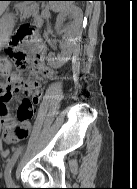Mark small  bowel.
<instances>
[{
	"instance_id": "1",
	"label": "small bowel",
	"mask_w": 137,
	"mask_h": 189,
	"mask_svg": "<svg viewBox=\"0 0 137 189\" xmlns=\"http://www.w3.org/2000/svg\"><path fill=\"white\" fill-rule=\"evenodd\" d=\"M33 70L40 75L34 80H27L21 72H17L9 77L7 83L0 85V129L5 141L9 144H15L27 138L34 116L33 112L30 116L26 114L20 118L18 110L17 117L13 116L9 103L17 95L29 94L30 99H23L21 103L28 100L34 109L40 101L45 79L52 77V71L43 59L37 62Z\"/></svg>"
}]
</instances>
